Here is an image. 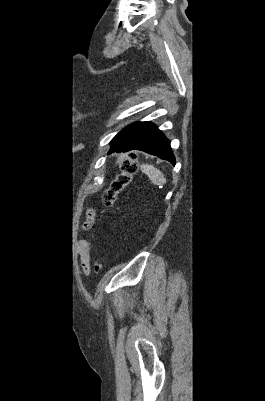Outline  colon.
I'll return each mask as SVG.
<instances>
[{"label": "colon", "instance_id": "colon-1", "mask_svg": "<svg viewBox=\"0 0 265 401\" xmlns=\"http://www.w3.org/2000/svg\"><path fill=\"white\" fill-rule=\"evenodd\" d=\"M137 171V156L136 154H130L122 163L119 173L111 182L109 188L103 192L102 202L107 208L114 206L118 195L130 185ZM93 268L95 273H99L102 270V265L99 261H95Z\"/></svg>", "mask_w": 265, "mask_h": 401}]
</instances>
